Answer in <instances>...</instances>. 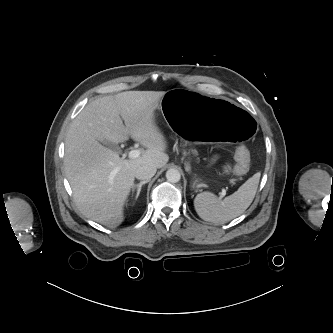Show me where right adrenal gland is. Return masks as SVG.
<instances>
[{"label": "right adrenal gland", "instance_id": "1", "mask_svg": "<svg viewBox=\"0 0 333 333\" xmlns=\"http://www.w3.org/2000/svg\"><path fill=\"white\" fill-rule=\"evenodd\" d=\"M148 182H149V180H145V181L140 182L139 184H135V185H133V187H132V195H133V193L135 192V190H137V192H136V196H135V199L138 198L142 186L145 185V184L148 183Z\"/></svg>", "mask_w": 333, "mask_h": 333}]
</instances>
